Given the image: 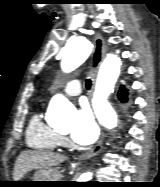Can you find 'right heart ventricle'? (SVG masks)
I'll list each match as a JSON object with an SVG mask.
<instances>
[{
    "instance_id": "1",
    "label": "right heart ventricle",
    "mask_w": 160,
    "mask_h": 187,
    "mask_svg": "<svg viewBox=\"0 0 160 187\" xmlns=\"http://www.w3.org/2000/svg\"><path fill=\"white\" fill-rule=\"evenodd\" d=\"M26 144L39 151H56L61 146L59 134L35 114L26 129Z\"/></svg>"
}]
</instances>
